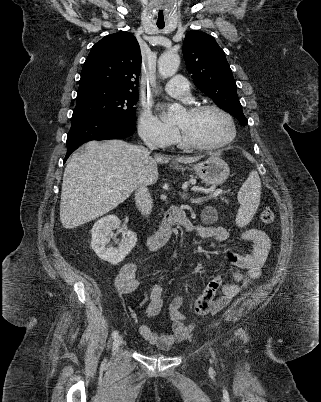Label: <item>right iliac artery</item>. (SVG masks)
Returning <instances> with one entry per match:
<instances>
[{"label": "right iliac artery", "mask_w": 321, "mask_h": 402, "mask_svg": "<svg viewBox=\"0 0 321 402\" xmlns=\"http://www.w3.org/2000/svg\"><path fill=\"white\" fill-rule=\"evenodd\" d=\"M119 332L118 331H114L112 333V338H116L118 336Z\"/></svg>", "instance_id": "right-iliac-artery-1"}]
</instances>
